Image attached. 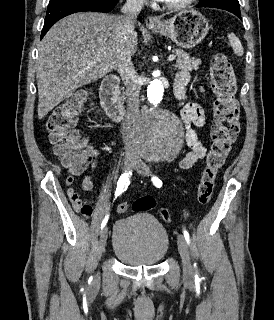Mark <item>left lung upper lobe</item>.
<instances>
[{"label":"left lung upper lobe","mask_w":274,"mask_h":320,"mask_svg":"<svg viewBox=\"0 0 274 320\" xmlns=\"http://www.w3.org/2000/svg\"><path fill=\"white\" fill-rule=\"evenodd\" d=\"M203 6L240 12L238 0H203Z\"/></svg>","instance_id":"1"}]
</instances>
